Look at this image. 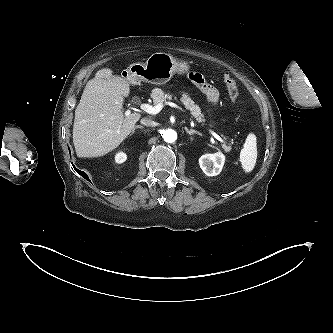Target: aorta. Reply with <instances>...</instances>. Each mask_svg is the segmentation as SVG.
<instances>
[{"instance_id": "obj_1", "label": "aorta", "mask_w": 333, "mask_h": 333, "mask_svg": "<svg viewBox=\"0 0 333 333\" xmlns=\"http://www.w3.org/2000/svg\"><path fill=\"white\" fill-rule=\"evenodd\" d=\"M163 139L165 142L173 143L177 139V133L175 130L167 129L163 132Z\"/></svg>"}]
</instances>
